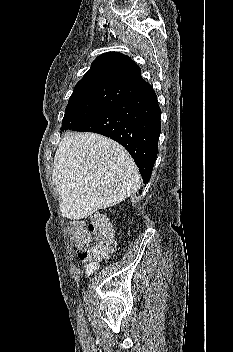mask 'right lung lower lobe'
I'll use <instances>...</instances> for the list:
<instances>
[{
    "instance_id": "right-lung-lower-lobe-1",
    "label": "right lung lower lobe",
    "mask_w": 233,
    "mask_h": 352,
    "mask_svg": "<svg viewBox=\"0 0 233 352\" xmlns=\"http://www.w3.org/2000/svg\"><path fill=\"white\" fill-rule=\"evenodd\" d=\"M161 110L150 86L98 113L73 131L109 137L130 153L144 184L152 174L161 132Z\"/></svg>"
}]
</instances>
